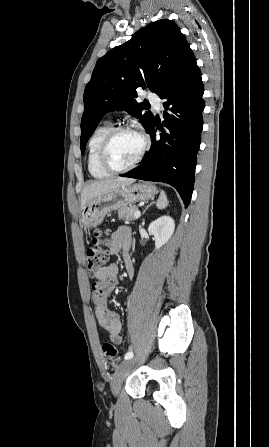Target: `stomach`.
Instances as JSON below:
<instances>
[{
    "label": "stomach",
    "mask_w": 269,
    "mask_h": 447,
    "mask_svg": "<svg viewBox=\"0 0 269 447\" xmlns=\"http://www.w3.org/2000/svg\"><path fill=\"white\" fill-rule=\"evenodd\" d=\"M157 194L155 186L150 182L133 184V186H120L117 190H111L107 194L97 196L94 200L87 202L81 216L80 224L84 229H90L95 225L102 224L106 214L112 210L126 208L134 202H145Z\"/></svg>",
    "instance_id": "obj_1"
}]
</instances>
